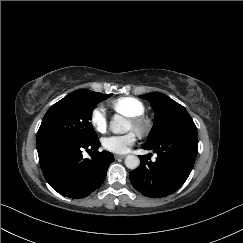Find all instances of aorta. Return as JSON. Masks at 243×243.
I'll return each mask as SVG.
<instances>
[{
	"label": "aorta",
	"mask_w": 243,
	"mask_h": 243,
	"mask_svg": "<svg viewBox=\"0 0 243 243\" xmlns=\"http://www.w3.org/2000/svg\"><path fill=\"white\" fill-rule=\"evenodd\" d=\"M130 129V126L127 122V120L120 115H114L113 118L110 121V130L114 134H124L128 132ZM140 164V159L135 155H128L125 158V165L127 168L134 170L136 169Z\"/></svg>",
	"instance_id": "1"
}]
</instances>
